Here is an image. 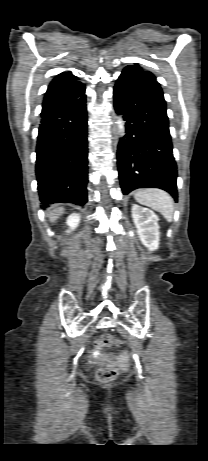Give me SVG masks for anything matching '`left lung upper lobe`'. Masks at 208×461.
<instances>
[{
	"label": "left lung upper lobe",
	"instance_id": "left-lung-upper-lobe-1",
	"mask_svg": "<svg viewBox=\"0 0 208 461\" xmlns=\"http://www.w3.org/2000/svg\"><path fill=\"white\" fill-rule=\"evenodd\" d=\"M124 70H141L145 74H147V75L151 76L152 78L156 79V77L151 72L143 70L138 64L129 65V66L125 67Z\"/></svg>",
	"mask_w": 208,
	"mask_h": 461
}]
</instances>
